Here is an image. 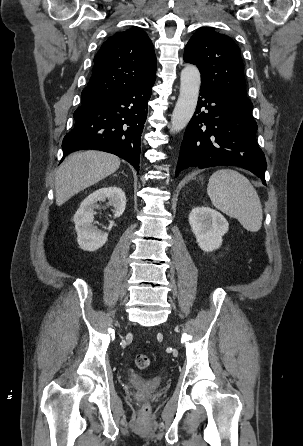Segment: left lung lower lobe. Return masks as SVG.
Instances as JSON below:
<instances>
[{
  "instance_id": "1",
  "label": "left lung lower lobe",
  "mask_w": 303,
  "mask_h": 446,
  "mask_svg": "<svg viewBox=\"0 0 303 446\" xmlns=\"http://www.w3.org/2000/svg\"><path fill=\"white\" fill-rule=\"evenodd\" d=\"M251 112L252 108L226 91L202 84L175 176L188 167L233 165L251 171L266 185L267 164L256 141L258 126Z\"/></svg>"
}]
</instances>
